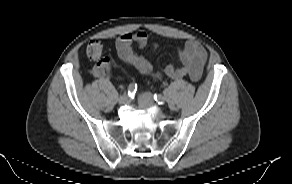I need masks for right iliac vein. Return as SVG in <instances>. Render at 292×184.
I'll list each match as a JSON object with an SVG mask.
<instances>
[{
  "instance_id": "right-iliac-vein-1",
  "label": "right iliac vein",
  "mask_w": 292,
  "mask_h": 184,
  "mask_svg": "<svg viewBox=\"0 0 292 184\" xmlns=\"http://www.w3.org/2000/svg\"><path fill=\"white\" fill-rule=\"evenodd\" d=\"M129 102H130V98L127 95H122L118 100V103L120 105H125V104H128Z\"/></svg>"
}]
</instances>
